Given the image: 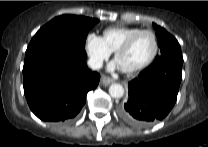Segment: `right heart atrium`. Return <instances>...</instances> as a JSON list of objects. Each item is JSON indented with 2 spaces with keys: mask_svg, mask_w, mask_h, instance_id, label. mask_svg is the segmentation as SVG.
Segmentation results:
<instances>
[{
  "mask_svg": "<svg viewBox=\"0 0 208 147\" xmlns=\"http://www.w3.org/2000/svg\"><path fill=\"white\" fill-rule=\"evenodd\" d=\"M86 50L94 66H99L111 55V51L105 44L103 38L94 33L88 34L86 38Z\"/></svg>",
  "mask_w": 208,
  "mask_h": 147,
  "instance_id": "1",
  "label": "right heart atrium"
}]
</instances>
